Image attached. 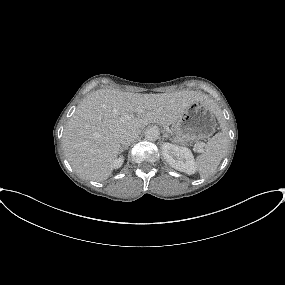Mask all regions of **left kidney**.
Listing matches in <instances>:
<instances>
[{"mask_svg":"<svg viewBox=\"0 0 285 285\" xmlns=\"http://www.w3.org/2000/svg\"><path fill=\"white\" fill-rule=\"evenodd\" d=\"M162 155L166 162L174 169L187 174L195 173L194 157L188 148L165 142L162 145Z\"/></svg>","mask_w":285,"mask_h":285,"instance_id":"5707ae66","label":"left kidney"}]
</instances>
